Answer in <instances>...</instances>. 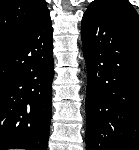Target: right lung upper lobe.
Returning <instances> with one entry per match:
<instances>
[{
	"mask_svg": "<svg viewBox=\"0 0 139 150\" xmlns=\"http://www.w3.org/2000/svg\"><path fill=\"white\" fill-rule=\"evenodd\" d=\"M47 14L45 0H0V41L31 29Z\"/></svg>",
	"mask_w": 139,
	"mask_h": 150,
	"instance_id": "1",
	"label": "right lung upper lobe"
}]
</instances>
